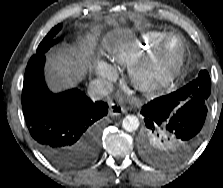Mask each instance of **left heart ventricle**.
Returning <instances> with one entry per match:
<instances>
[{
	"instance_id": "1",
	"label": "left heart ventricle",
	"mask_w": 223,
	"mask_h": 188,
	"mask_svg": "<svg viewBox=\"0 0 223 188\" xmlns=\"http://www.w3.org/2000/svg\"><path fill=\"white\" fill-rule=\"evenodd\" d=\"M179 53V42L176 39L169 41L167 46V61L166 64L172 63Z\"/></svg>"
}]
</instances>
